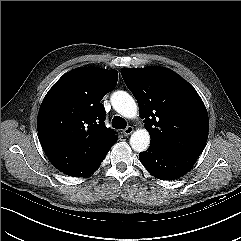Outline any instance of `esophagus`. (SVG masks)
Wrapping results in <instances>:
<instances>
[{
    "label": "esophagus",
    "instance_id": "1",
    "mask_svg": "<svg viewBox=\"0 0 241 241\" xmlns=\"http://www.w3.org/2000/svg\"><path fill=\"white\" fill-rule=\"evenodd\" d=\"M133 131H134V128H133L132 126H128L127 128H125V129L123 130V133H124L125 136H128V135H130Z\"/></svg>",
    "mask_w": 241,
    "mask_h": 241
}]
</instances>
